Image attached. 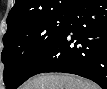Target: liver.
Here are the masks:
<instances>
[{
  "instance_id": "6515ba94",
  "label": "liver",
  "mask_w": 107,
  "mask_h": 89,
  "mask_svg": "<svg viewBox=\"0 0 107 89\" xmlns=\"http://www.w3.org/2000/svg\"><path fill=\"white\" fill-rule=\"evenodd\" d=\"M93 86L68 76L41 75L23 89H91Z\"/></svg>"
}]
</instances>
